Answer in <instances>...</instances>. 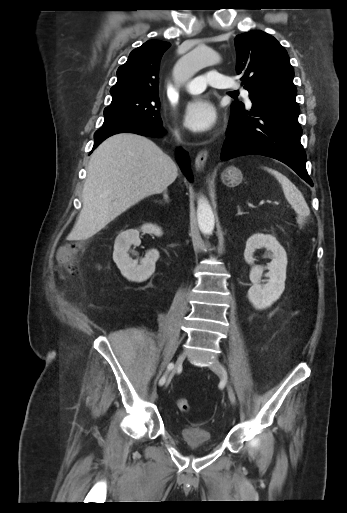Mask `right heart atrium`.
I'll return each instance as SVG.
<instances>
[{"mask_svg":"<svg viewBox=\"0 0 347 513\" xmlns=\"http://www.w3.org/2000/svg\"><path fill=\"white\" fill-rule=\"evenodd\" d=\"M175 133H176L177 135L179 134V129H178V128H176V129H175Z\"/></svg>","mask_w":347,"mask_h":513,"instance_id":"1","label":"right heart atrium"}]
</instances>
